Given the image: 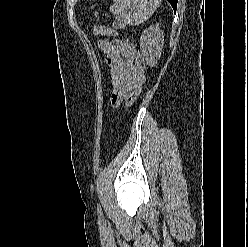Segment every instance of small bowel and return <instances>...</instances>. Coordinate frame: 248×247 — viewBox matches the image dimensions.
<instances>
[{
	"label": "small bowel",
	"mask_w": 248,
	"mask_h": 247,
	"mask_svg": "<svg viewBox=\"0 0 248 247\" xmlns=\"http://www.w3.org/2000/svg\"><path fill=\"white\" fill-rule=\"evenodd\" d=\"M99 46L105 55L111 82L110 103L131 104L142 91L143 74L135 62L140 55L135 44L123 39H101Z\"/></svg>",
	"instance_id": "1"
}]
</instances>
